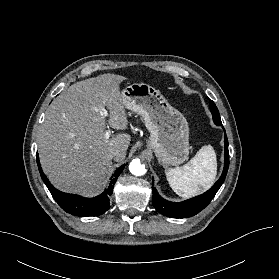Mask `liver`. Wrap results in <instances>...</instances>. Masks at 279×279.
Masks as SVG:
<instances>
[{"label":"liver","instance_id":"obj_1","mask_svg":"<svg viewBox=\"0 0 279 279\" xmlns=\"http://www.w3.org/2000/svg\"><path fill=\"white\" fill-rule=\"evenodd\" d=\"M126 78L102 74L72 84L50 105L38 135L40 162L59 190L86 197L97 195L112 165L110 151L119 149L123 161L129 134L105 138L106 125L125 130L128 125L120 83ZM107 107L108 120L101 112Z\"/></svg>","mask_w":279,"mask_h":279}]
</instances>
